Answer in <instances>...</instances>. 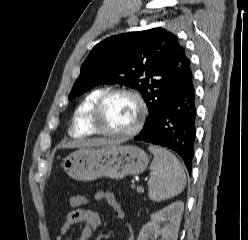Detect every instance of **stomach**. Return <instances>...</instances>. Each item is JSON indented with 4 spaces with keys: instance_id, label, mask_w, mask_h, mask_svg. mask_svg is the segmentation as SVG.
<instances>
[{
    "instance_id": "1",
    "label": "stomach",
    "mask_w": 248,
    "mask_h": 240,
    "mask_svg": "<svg viewBox=\"0 0 248 240\" xmlns=\"http://www.w3.org/2000/svg\"><path fill=\"white\" fill-rule=\"evenodd\" d=\"M147 154L137 146L113 144L98 149H80L63 159L64 171L73 179L93 181L101 177L122 179L142 173Z\"/></svg>"
}]
</instances>
